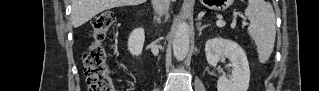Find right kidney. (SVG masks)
<instances>
[{
	"instance_id": "right-kidney-1",
	"label": "right kidney",
	"mask_w": 319,
	"mask_h": 91,
	"mask_svg": "<svg viewBox=\"0 0 319 91\" xmlns=\"http://www.w3.org/2000/svg\"><path fill=\"white\" fill-rule=\"evenodd\" d=\"M145 40L143 28H136L132 31L128 39V50L133 56H139L142 53Z\"/></svg>"
}]
</instances>
